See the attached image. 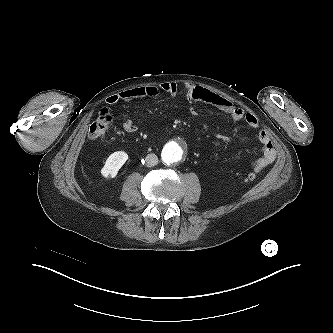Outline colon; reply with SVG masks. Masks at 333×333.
<instances>
[{
	"label": "colon",
	"mask_w": 333,
	"mask_h": 333,
	"mask_svg": "<svg viewBox=\"0 0 333 333\" xmlns=\"http://www.w3.org/2000/svg\"><path fill=\"white\" fill-rule=\"evenodd\" d=\"M113 121L112 112L109 109H102L97 118L90 125V136L93 139L104 136L110 129ZM246 179L249 182H253L256 179V174L250 172L247 174Z\"/></svg>",
	"instance_id": "colon-1"
}]
</instances>
